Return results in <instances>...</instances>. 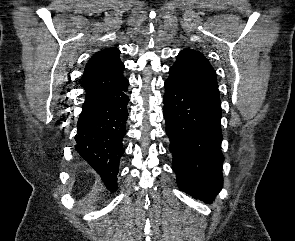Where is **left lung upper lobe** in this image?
Here are the masks:
<instances>
[{
    "label": "left lung upper lobe",
    "mask_w": 295,
    "mask_h": 241,
    "mask_svg": "<svg viewBox=\"0 0 295 241\" xmlns=\"http://www.w3.org/2000/svg\"><path fill=\"white\" fill-rule=\"evenodd\" d=\"M170 71L193 91L212 100L220 101L216 72L199 51L182 50Z\"/></svg>",
    "instance_id": "obj_1"
}]
</instances>
